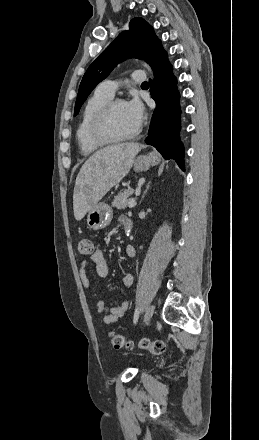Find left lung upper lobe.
I'll list each match as a JSON object with an SVG mask.
<instances>
[{
	"instance_id": "5c2ea615",
	"label": "left lung upper lobe",
	"mask_w": 259,
	"mask_h": 440,
	"mask_svg": "<svg viewBox=\"0 0 259 440\" xmlns=\"http://www.w3.org/2000/svg\"><path fill=\"white\" fill-rule=\"evenodd\" d=\"M161 45L153 28L142 18H134L129 30L122 32L89 66L80 83L74 115L95 86L103 81L114 67L127 58H139L149 62Z\"/></svg>"
}]
</instances>
